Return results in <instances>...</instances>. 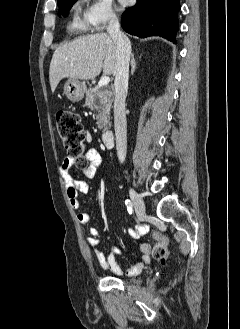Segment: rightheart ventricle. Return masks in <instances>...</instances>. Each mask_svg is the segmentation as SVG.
I'll list each match as a JSON object with an SVG mask.
<instances>
[{
  "instance_id": "1",
  "label": "right heart ventricle",
  "mask_w": 240,
  "mask_h": 329,
  "mask_svg": "<svg viewBox=\"0 0 240 329\" xmlns=\"http://www.w3.org/2000/svg\"><path fill=\"white\" fill-rule=\"evenodd\" d=\"M81 6L78 4L75 6L72 19L68 25L69 30L74 32H85L88 29V25L85 21V18L80 16Z\"/></svg>"
}]
</instances>
